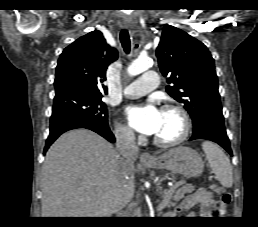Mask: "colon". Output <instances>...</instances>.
<instances>
[{
    "mask_svg": "<svg viewBox=\"0 0 258 227\" xmlns=\"http://www.w3.org/2000/svg\"><path fill=\"white\" fill-rule=\"evenodd\" d=\"M212 190L221 196V201L224 205L231 202V195L223 188L218 185H212Z\"/></svg>",
    "mask_w": 258,
    "mask_h": 227,
    "instance_id": "obj_1",
    "label": "colon"
}]
</instances>
